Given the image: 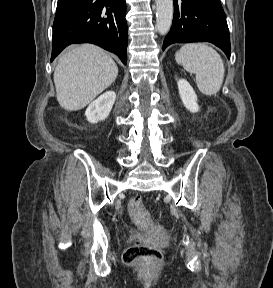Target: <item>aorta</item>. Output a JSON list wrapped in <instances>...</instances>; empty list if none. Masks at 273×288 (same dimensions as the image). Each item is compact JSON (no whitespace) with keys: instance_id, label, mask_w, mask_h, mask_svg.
Segmentation results:
<instances>
[{"instance_id":"aorta-1","label":"aorta","mask_w":273,"mask_h":288,"mask_svg":"<svg viewBox=\"0 0 273 288\" xmlns=\"http://www.w3.org/2000/svg\"><path fill=\"white\" fill-rule=\"evenodd\" d=\"M156 28L162 35L168 33L173 19V0H155Z\"/></svg>"}]
</instances>
